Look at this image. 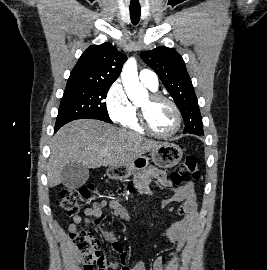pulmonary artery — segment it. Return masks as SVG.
<instances>
[{
    "label": "pulmonary artery",
    "mask_w": 267,
    "mask_h": 270,
    "mask_svg": "<svg viewBox=\"0 0 267 270\" xmlns=\"http://www.w3.org/2000/svg\"><path fill=\"white\" fill-rule=\"evenodd\" d=\"M139 79L141 80L142 83L153 89L158 88L159 85L158 76L154 71L150 69H142L139 72Z\"/></svg>",
    "instance_id": "pulmonary-artery-1"
}]
</instances>
